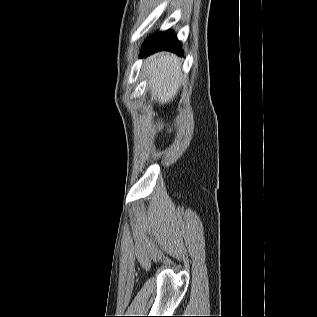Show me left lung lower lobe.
Listing matches in <instances>:
<instances>
[{
    "label": "left lung lower lobe",
    "instance_id": "1",
    "mask_svg": "<svg viewBox=\"0 0 317 317\" xmlns=\"http://www.w3.org/2000/svg\"><path fill=\"white\" fill-rule=\"evenodd\" d=\"M171 51L182 56V48L176 36L169 30L156 33L151 36L142 48L141 57L153 54L157 51Z\"/></svg>",
    "mask_w": 317,
    "mask_h": 317
}]
</instances>
